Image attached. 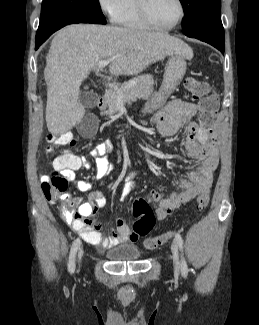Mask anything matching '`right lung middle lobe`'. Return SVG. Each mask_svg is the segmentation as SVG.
Listing matches in <instances>:
<instances>
[{"mask_svg": "<svg viewBox=\"0 0 259 325\" xmlns=\"http://www.w3.org/2000/svg\"><path fill=\"white\" fill-rule=\"evenodd\" d=\"M106 24L99 0H43L36 38L60 25Z\"/></svg>", "mask_w": 259, "mask_h": 325, "instance_id": "obj_1", "label": "right lung middle lobe"}]
</instances>
